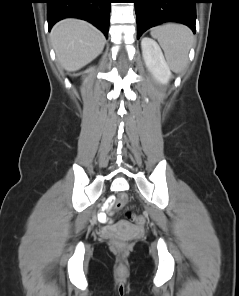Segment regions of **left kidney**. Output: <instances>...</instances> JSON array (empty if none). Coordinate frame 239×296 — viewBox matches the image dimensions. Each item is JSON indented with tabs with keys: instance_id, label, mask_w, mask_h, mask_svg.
<instances>
[{
	"instance_id": "obj_1",
	"label": "left kidney",
	"mask_w": 239,
	"mask_h": 296,
	"mask_svg": "<svg viewBox=\"0 0 239 296\" xmlns=\"http://www.w3.org/2000/svg\"><path fill=\"white\" fill-rule=\"evenodd\" d=\"M145 65L153 77L161 84L169 83L172 73L157 42L149 37L141 41Z\"/></svg>"
}]
</instances>
